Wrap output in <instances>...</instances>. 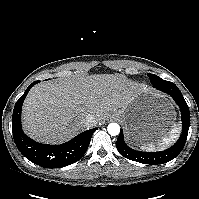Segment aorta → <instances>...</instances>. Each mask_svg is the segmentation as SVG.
<instances>
[{"label": "aorta", "mask_w": 199, "mask_h": 199, "mask_svg": "<svg viewBox=\"0 0 199 199\" xmlns=\"http://www.w3.org/2000/svg\"><path fill=\"white\" fill-rule=\"evenodd\" d=\"M107 130L110 135L116 136L120 133V126L117 123H110Z\"/></svg>", "instance_id": "aorta-1"}]
</instances>
